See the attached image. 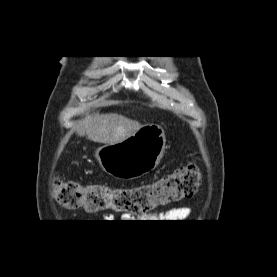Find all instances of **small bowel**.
I'll return each mask as SVG.
<instances>
[{
  "label": "small bowel",
  "instance_id": "c3829d8e",
  "mask_svg": "<svg viewBox=\"0 0 277 277\" xmlns=\"http://www.w3.org/2000/svg\"><path fill=\"white\" fill-rule=\"evenodd\" d=\"M191 210L189 207L181 206V207H174L166 212H155L149 215L148 217L144 218L148 220L147 222H181L185 220L190 215ZM112 216L110 214L105 215V219L110 220ZM124 220H131L130 215H124Z\"/></svg>",
  "mask_w": 277,
  "mask_h": 277
}]
</instances>
